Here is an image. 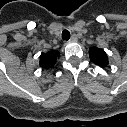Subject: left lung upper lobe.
I'll return each instance as SVG.
<instances>
[{"mask_svg":"<svg viewBox=\"0 0 127 127\" xmlns=\"http://www.w3.org/2000/svg\"><path fill=\"white\" fill-rule=\"evenodd\" d=\"M89 54L91 61L94 62L96 65L103 68L108 66V57L103 49L92 47L89 50Z\"/></svg>","mask_w":127,"mask_h":127,"instance_id":"5c2ea615","label":"left lung upper lobe"}]
</instances>
